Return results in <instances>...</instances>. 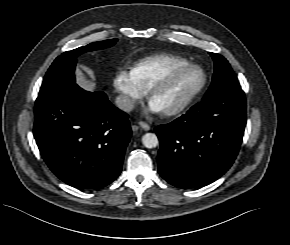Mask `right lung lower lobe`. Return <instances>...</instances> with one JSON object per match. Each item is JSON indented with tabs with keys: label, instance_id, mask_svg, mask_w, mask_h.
<instances>
[{
	"label": "right lung lower lobe",
	"instance_id": "1",
	"mask_svg": "<svg viewBox=\"0 0 290 245\" xmlns=\"http://www.w3.org/2000/svg\"><path fill=\"white\" fill-rule=\"evenodd\" d=\"M33 133L59 179L76 188L99 189L120 174L131 128L128 115L103 91L88 92L75 84L38 96Z\"/></svg>",
	"mask_w": 290,
	"mask_h": 245
}]
</instances>
